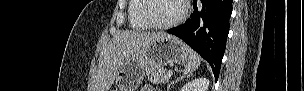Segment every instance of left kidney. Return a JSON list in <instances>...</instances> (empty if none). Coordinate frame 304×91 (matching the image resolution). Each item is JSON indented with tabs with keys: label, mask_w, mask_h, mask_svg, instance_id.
I'll return each mask as SVG.
<instances>
[{
	"label": "left kidney",
	"mask_w": 304,
	"mask_h": 91,
	"mask_svg": "<svg viewBox=\"0 0 304 91\" xmlns=\"http://www.w3.org/2000/svg\"><path fill=\"white\" fill-rule=\"evenodd\" d=\"M209 87V79L197 78L181 88V91H207Z\"/></svg>",
	"instance_id": "obj_1"
}]
</instances>
